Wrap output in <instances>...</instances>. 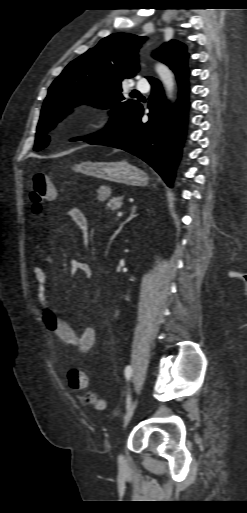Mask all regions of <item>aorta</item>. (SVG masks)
Returning <instances> with one entry per match:
<instances>
[{
	"label": "aorta",
	"mask_w": 247,
	"mask_h": 513,
	"mask_svg": "<svg viewBox=\"0 0 247 513\" xmlns=\"http://www.w3.org/2000/svg\"><path fill=\"white\" fill-rule=\"evenodd\" d=\"M155 70L164 85L167 99L171 100L173 97V91H174V75L172 71L163 63L158 62L155 65Z\"/></svg>",
	"instance_id": "aorta-1"
}]
</instances>
